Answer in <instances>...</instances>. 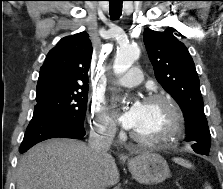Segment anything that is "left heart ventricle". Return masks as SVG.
<instances>
[{"label": "left heart ventricle", "mask_w": 223, "mask_h": 189, "mask_svg": "<svg viewBox=\"0 0 223 189\" xmlns=\"http://www.w3.org/2000/svg\"><path fill=\"white\" fill-rule=\"evenodd\" d=\"M143 114L133 131L145 135H156L166 129L170 123V113L162 102H144Z\"/></svg>", "instance_id": "left-heart-ventricle-1"}]
</instances>
